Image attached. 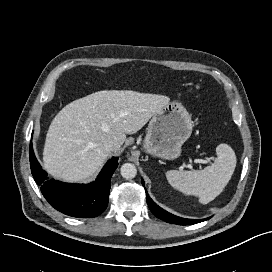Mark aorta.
I'll return each instance as SVG.
<instances>
[{"label": "aorta", "instance_id": "762f6f07", "mask_svg": "<svg viewBox=\"0 0 272 272\" xmlns=\"http://www.w3.org/2000/svg\"><path fill=\"white\" fill-rule=\"evenodd\" d=\"M121 175L125 179H132L137 174V169L132 163H125L121 166L120 169Z\"/></svg>", "mask_w": 272, "mask_h": 272}]
</instances>
